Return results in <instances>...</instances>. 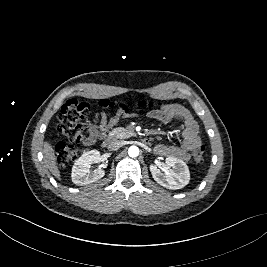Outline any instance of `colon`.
<instances>
[{"label":"colon","mask_w":267,"mask_h":267,"mask_svg":"<svg viewBox=\"0 0 267 267\" xmlns=\"http://www.w3.org/2000/svg\"><path fill=\"white\" fill-rule=\"evenodd\" d=\"M99 107L104 109H113L116 104L109 100H101ZM138 108H153L163 106L162 103H153L148 101H139ZM90 112V105L80 99H70L61 108L59 113V131L66 138L67 142H59L56 146L57 163L60 166H67L73 162L80 154L81 150L78 143L84 141V127L86 118ZM205 147L197 146L192 153L194 162L201 163L204 160Z\"/></svg>","instance_id":"5ec220e1"}]
</instances>
